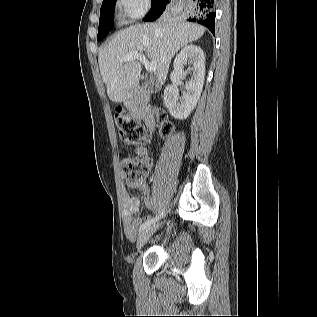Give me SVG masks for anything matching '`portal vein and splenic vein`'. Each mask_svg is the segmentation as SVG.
<instances>
[{
    "mask_svg": "<svg viewBox=\"0 0 317 317\" xmlns=\"http://www.w3.org/2000/svg\"><path fill=\"white\" fill-rule=\"evenodd\" d=\"M122 61L139 60L145 68L150 72H155L157 69V63L155 61H148L144 54L138 52H129L121 58Z\"/></svg>",
    "mask_w": 317,
    "mask_h": 317,
    "instance_id": "obj_1",
    "label": "portal vein and splenic vein"
}]
</instances>
